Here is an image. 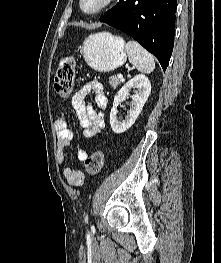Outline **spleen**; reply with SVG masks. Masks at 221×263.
Instances as JSON below:
<instances>
[{
	"label": "spleen",
	"instance_id": "spleen-1",
	"mask_svg": "<svg viewBox=\"0 0 221 263\" xmlns=\"http://www.w3.org/2000/svg\"><path fill=\"white\" fill-rule=\"evenodd\" d=\"M126 52L129 62L141 73L150 74L155 69L153 56L146 51L137 41H128Z\"/></svg>",
	"mask_w": 221,
	"mask_h": 263
}]
</instances>
